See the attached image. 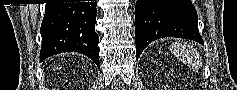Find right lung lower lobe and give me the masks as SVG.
Listing matches in <instances>:
<instances>
[{"mask_svg": "<svg viewBox=\"0 0 237 90\" xmlns=\"http://www.w3.org/2000/svg\"><path fill=\"white\" fill-rule=\"evenodd\" d=\"M96 2L46 4L41 25L40 61L74 51L99 65V37L95 32Z\"/></svg>", "mask_w": 237, "mask_h": 90, "instance_id": "98d812e1", "label": "right lung lower lobe"}]
</instances>
